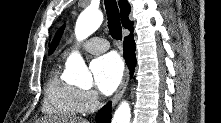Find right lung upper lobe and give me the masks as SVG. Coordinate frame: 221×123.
<instances>
[{"instance_id": "right-lung-upper-lobe-1", "label": "right lung upper lobe", "mask_w": 221, "mask_h": 123, "mask_svg": "<svg viewBox=\"0 0 221 123\" xmlns=\"http://www.w3.org/2000/svg\"><path fill=\"white\" fill-rule=\"evenodd\" d=\"M119 7L121 11V21L124 28L129 29L131 32L133 31V22H131L128 18L131 7L127 0H119Z\"/></svg>"}]
</instances>
